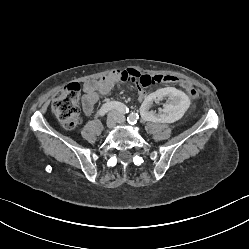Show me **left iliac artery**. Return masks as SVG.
<instances>
[{
	"label": "left iliac artery",
	"instance_id": "left-iliac-artery-1",
	"mask_svg": "<svg viewBox=\"0 0 249 249\" xmlns=\"http://www.w3.org/2000/svg\"><path fill=\"white\" fill-rule=\"evenodd\" d=\"M139 118L137 113H131L128 117H127V121L129 124L134 125L137 123V119Z\"/></svg>",
	"mask_w": 249,
	"mask_h": 249
}]
</instances>
